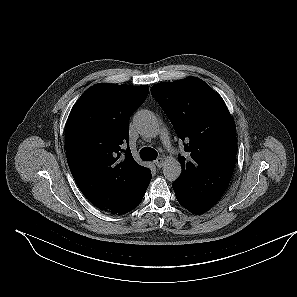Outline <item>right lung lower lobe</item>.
Listing matches in <instances>:
<instances>
[{
  "mask_svg": "<svg viewBox=\"0 0 297 297\" xmlns=\"http://www.w3.org/2000/svg\"><path fill=\"white\" fill-rule=\"evenodd\" d=\"M148 184H146L142 188V190L138 193V195L135 197V199L128 205V207H126L124 210L119 212V214L127 213V212L131 211L132 209L136 208L140 204V202L142 201L143 196L147 190Z\"/></svg>",
  "mask_w": 297,
  "mask_h": 297,
  "instance_id": "98d812e1",
  "label": "right lung lower lobe"
}]
</instances>
